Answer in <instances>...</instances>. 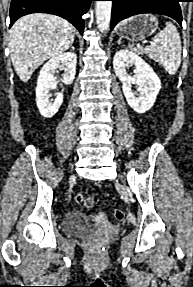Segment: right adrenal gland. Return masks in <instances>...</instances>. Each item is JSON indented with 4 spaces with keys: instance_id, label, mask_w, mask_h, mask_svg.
<instances>
[{
    "instance_id": "obj_1",
    "label": "right adrenal gland",
    "mask_w": 193,
    "mask_h": 287,
    "mask_svg": "<svg viewBox=\"0 0 193 287\" xmlns=\"http://www.w3.org/2000/svg\"><path fill=\"white\" fill-rule=\"evenodd\" d=\"M71 50H72V51H74V50H75L74 46H71Z\"/></svg>"
}]
</instances>
